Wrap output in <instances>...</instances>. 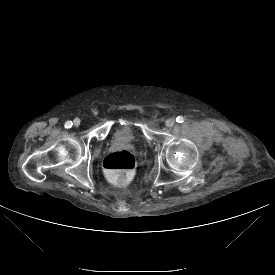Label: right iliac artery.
I'll return each instance as SVG.
<instances>
[{
	"mask_svg": "<svg viewBox=\"0 0 275 275\" xmlns=\"http://www.w3.org/2000/svg\"><path fill=\"white\" fill-rule=\"evenodd\" d=\"M72 125H73V123H72V121H67L66 123H65V128H71L72 127Z\"/></svg>",
	"mask_w": 275,
	"mask_h": 275,
	"instance_id": "82829eb1",
	"label": "right iliac artery"
}]
</instances>
